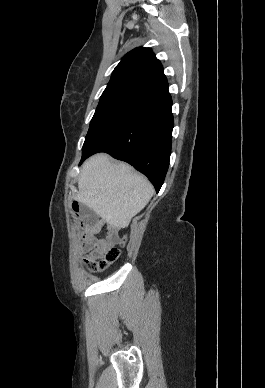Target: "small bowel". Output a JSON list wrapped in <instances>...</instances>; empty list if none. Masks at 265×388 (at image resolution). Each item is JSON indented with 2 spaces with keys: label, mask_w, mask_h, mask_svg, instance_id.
<instances>
[{
  "label": "small bowel",
  "mask_w": 265,
  "mask_h": 388,
  "mask_svg": "<svg viewBox=\"0 0 265 388\" xmlns=\"http://www.w3.org/2000/svg\"><path fill=\"white\" fill-rule=\"evenodd\" d=\"M103 225L104 222L98 220L93 214H87L83 219L86 235L85 241L80 245V250L87 253L88 261H95L101 258L118 238L117 226L112 222L106 224L107 237H96Z\"/></svg>",
  "instance_id": "c3829d8e"
}]
</instances>
